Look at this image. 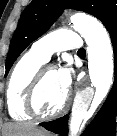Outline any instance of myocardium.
Returning a JSON list of instances; mask_svg holds the SVG:
<instances>
[{
	"label": "myocardium",
	"mask_w": 117,
	"mask_h": 136,
	"mask_svg": "<svg viewBox=\"0 0 117 136\" xmlns=\"http://www.w3.org/2000/svg\"><path fill=\"white\" fill-rule=\"evenodd\" d=\"M51 69H54V67L53 66L41 67L39 71L36 73V75L34 76L26 92L25 110L30 116L35 117L39 120H49V119L58 117L59 115H61L63 112L66 111V109L69 107L71 102V95L69 92H67V95L65 97L63 104L56 111L45 114L39 110L38 104H37L38 91L45 79L47 72Z\"/></svg>",
	"instance_id": "1"
}]
</instances>
